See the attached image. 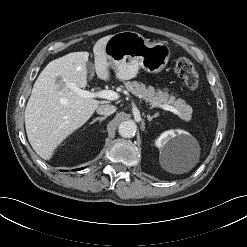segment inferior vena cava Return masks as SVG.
<instances>
[{
    "mask_svg": "<svg viewBox=\"0 0 247 247\" xmlns=\"http://www.w3.org/2000/svg\"><path fill=\"white\" fill-rule=\"evenodd\" d=\"M116 111V107L110 104H102L97 108V113L100 115L109 116Z\"/></svg>",
    "mask_w": 247,
    "mask_h": 247,
    "instance_id": "obj_1",
    "label": "inferior vena cava"
}]
</instances>
